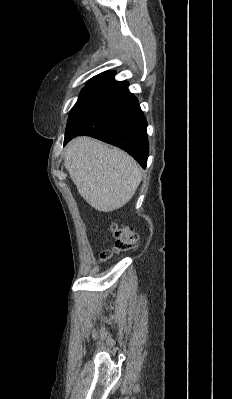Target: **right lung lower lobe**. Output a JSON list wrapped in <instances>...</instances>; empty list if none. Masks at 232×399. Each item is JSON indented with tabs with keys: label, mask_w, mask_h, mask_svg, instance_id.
Returning <instances> with one entry per match:
<instances>
[{
	"label": "right lung lower lobe",
	"mask_w": 232,
	"mask_h": 399,
	"mask_svg": "<svg viewBox=\"0 0 232 399\" xmlns=\"http://www.w3.org/2000/svg\"><path fill=\"white\" fill-rule=\"evenodd\" d=\"M128 86L111 78L81 93L69 114L64 145L76 136H92L125 150L145 168L147 122Z\"/></svg>",
	"instance_id": "right-lung-lower-lobe-1"
}]
</instances>
